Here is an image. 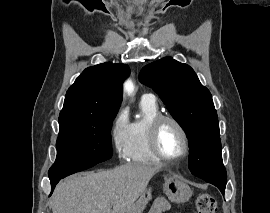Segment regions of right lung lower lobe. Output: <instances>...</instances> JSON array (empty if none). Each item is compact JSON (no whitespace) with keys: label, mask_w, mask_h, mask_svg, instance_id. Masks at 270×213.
Here are the masks:
<instances>
[{"label":"right lung lower lobe","mask_w":270,"mask_h":213,"mask_svg":"<svg viewBox=\"0 0 270 213\" xmlns=\"http://www.w3.org/2000/svg\"><path fill=\"white\" fill-rule=\"evenodd\" d=\"M90 168V167H89ZM85 169H88V168H84V169H79V170H75V171H71L69 173H66V174H62V175H55V176H51L49 177L50 179V182H51V193L53 192L56 184L63 178H65L66 176H69L73 173H76V172H79V171H83Z\"/></svg>","instance_id":"right-lung-lower-lobe-1"}]
</instances>
